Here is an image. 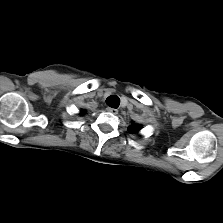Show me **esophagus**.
<instances>
[{"mask_svg":"<svg viewBox=\"0 0 223 223\" xmlns=\"http://www.w3.org/2000/svg\"><path fill=\"white\" fill-rule=\"evenodd\" d=\"M107 111L115 115L118 114V110L115 108L107 107Z\"/></svg>","mask_w":223,"mask_h":223,"instance_id":"1","label":"esophagus"}]
</instances>
